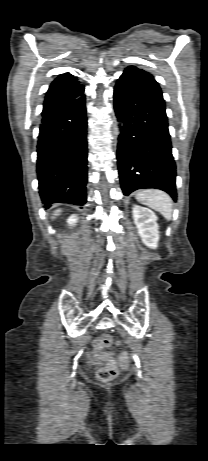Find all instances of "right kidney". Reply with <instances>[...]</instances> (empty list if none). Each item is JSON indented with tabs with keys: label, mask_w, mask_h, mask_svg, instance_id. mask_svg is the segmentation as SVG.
Listing matches in <instances>:
<instances>
[{
	"label": "right kidney",
	"mask_w": 208,
	"mask_h": 461,
	"mask_svg": "<svg viewBox=\"0 0 208 461\" xmlns=\"http://www.w3.org/2000/svg\"><path fill=\"white\" fill-rule=\"evenodd\" d=\"M77 220H78V218H77L76 215H71L68 218L67 222H68L69 225H74L77 222Z\"/></svg>",
	"instance_id": "obj_1"
}]
</instances>
